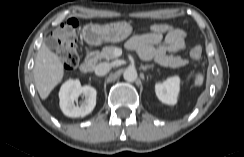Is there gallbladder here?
<instances>
[{
  "mask_svg": "<svg viewBox=\"0 0 244 157\" xmlns=\"http://www.w3.org/2000/svg\"><path fill=\"white\" fill-rule=\"evenodd\" d=\"M45 44L50 49H57L58 48V42L56 38H53L51 36L47 37L45 39Z\"/></svg>",
  "mask_w": 244,
  "mask_h": 157,
  "instance_id": "gallbladder-1",
  "label": "gallbladder"
}]
</instances>
